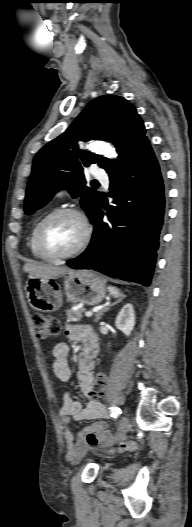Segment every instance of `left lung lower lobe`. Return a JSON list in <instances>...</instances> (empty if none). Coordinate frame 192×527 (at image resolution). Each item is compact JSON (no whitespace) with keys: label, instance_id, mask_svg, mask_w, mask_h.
Instances as JSON below:
<instances>
[{"label":"left lung lower lobe","instance_id":"1","mask_svg":"<svg viewBox=\"0 0 192 527\" xmlns=\"http://www.w3.org/2000/svg\"><path fill=\"white\" fill-rule=\"evenodd\" d=\"M109 176L114 198L107 212L109 222L102 220L100 204L90 245L67 265L149 286L165 208L164 174L149 140Z\"/></svg>","mask_w":192,"mask_h":527}]
</instances>
